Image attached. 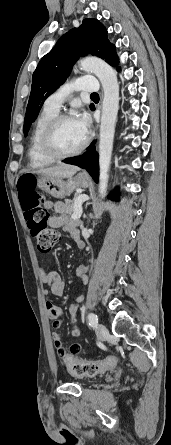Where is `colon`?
Returning <instances> with one entry per match:
<instances>
[{
  "label": "colon",
  "instance_id": "1",
  "mask_svg": "<svg viewBox=\"0 0 171 445\" xmlns=\"http://www.w3.org/2000/svg\"><path fill=\"white\" fill-rule=\"evenodd\" d=\"M19 202L32 237L40 252H49L60 238L59 232L50 224V214L45 207L43 195L36 190L32 176L19 179ZM70 374L77 377H92L105 371L114 362L112 357L97 361H78L67 354L62 355Z\"/></svg>",
  "mask_w": 171,
  "mask_h": 445
}]
</instances>
